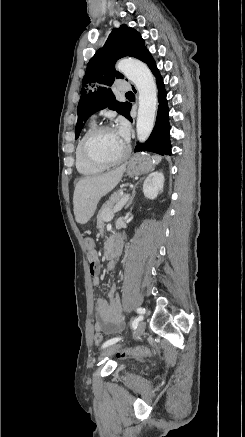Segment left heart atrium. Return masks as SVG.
Instances as JSON below:
<instances>
[{"instance_id":"1","label":"left heart atrium","mask_w":245,"mask_h":437,"mask_svg":"<svg viewBox=\"0 0 245 437\" xmlns=\"http://www.w3.org/2000/svg\"><path fill=\"white\" fill-rule=\"evenodd\" d=\"M115 130L118 133V135L122 138V140L127 143L129 137V129L127 124L124 121H120Z\"/></svg>"}]
</instances>
